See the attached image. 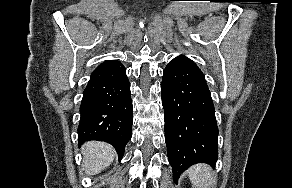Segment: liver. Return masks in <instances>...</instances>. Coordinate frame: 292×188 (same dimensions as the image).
Returning <instances> with one entry per match:
<instances>
[{"label":"liver","mask_w":292,"mask_h":188,"mask_svg":"<svg viewBox=\"0 0 292 188\" xmlns=\"http://www.w3.org/2000/svg\"><path fill=\"white\" fill-rule=\"evenodd\" d=\"M82 153L84 155V170L87 175H95L108 167L116 152L114 148L99 141H89L83 145Z\"/></svg>","instance_id":"liver-1"}]
</instances>
